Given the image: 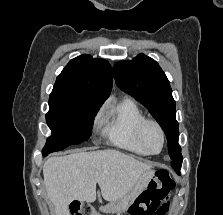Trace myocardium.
Here are the masks:
<instances>
[{"label":"myocardium","instance_id":"myocardium-1","mask_svg":"<svg viewBox=\"0 0 223 215\" xmlns=\"http://www.w3.org/2000/svg\"><path fill=\"white\" fill-rule=\"evenodd\" d=\"M148 125H153L159 132L160 137H161V146L160 149L158 151H149L147 149H145L144 144H143V135H144V130ZM137 140L138 143L143 151V153L145 155H158L159 153H161L163 147H164V143H165V134L164 131L162 129V127L160 126V124L153 120V119H147L144 118L138 125L137 127Z\"/></svg>","mask_w":223,"mask_h":215}]
</instances>
